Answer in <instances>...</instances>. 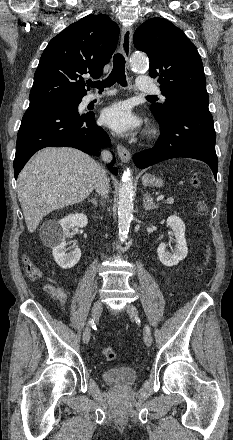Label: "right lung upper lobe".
I'll list each match as a JSON object with an SVG mask.
<instances>
[{"label":"right lung upper lobe","mask_w":233,"mask_h":440,"mask_svg":"<svg viewBox=\"0 0 233 440\" xmlns=\"http://www.w3.org/2000/svg\"><path fill=\"white\" fill-rule=\"evenodd\" d=\"M119 27L107 15H88L52 38L41 55L30 105L86 95L82 75L100 77L116 49Z\"/></svg>","instance_id":"right-lung-upper-lobe-1"}]
</instances>
